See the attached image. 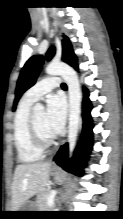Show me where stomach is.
<instances>
[{"instance_id":"0dacf381","label":"stomach","mask_w":123,"mask_h":219,"mask_svg":"<svg viewBox=\"0 0 123 219\" xmlns=\"http://www.w3.org/2000/svg\"><path fill=\"white\" fill-rule=\"evenodd\" d=\"M52 175L55 177V179H56L57 181H60L61 178H62L61 172H60L59 170H56V169L52 170ZM34 209H36L35 203H33V202H26V203L21 207V209L18 210V211H35ZM19 215H26V214L22 212V213L19 214Z\"/></svg>"}]
</instances>
